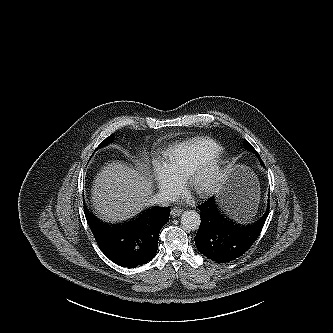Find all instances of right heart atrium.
Returning <instances> with one entry per match:
<instances>
[{
	"instance_id": "obj_1",
	"label": "right heart atrium",
	"mask_w": 333,
	"mask_h": 333,
	"mask_svg": "<svg viewBox=\"0 0 333 333\" xmlns=\"http://www.w3.org/2000/svg\"><path fill=\"white\" fill-rule=\"evenodd\" d=\"M152 176L164 196L174 195L182 186L181 178L176 176L160 159H155L152 163Z\"/></svg>"
}]
</instances>
